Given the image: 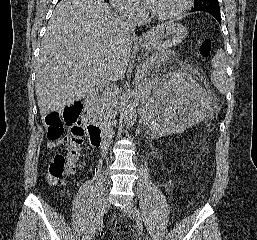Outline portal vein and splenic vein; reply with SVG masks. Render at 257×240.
I'll return each instance as SVG.
<instances>
[{"mask_svg":"<svg viewBox=\"0 0 257 240\" xmlns=\"http://www.w3.org/2000/svg\"><path fill=\"white\" fill-rule=\"evenodd\" d=\"M137 76H138V74L136 75V79L139 80V79L137 78Z\"/></svg>","mask_w":257,"mask_h":240,"instance_id":"18ae733b","label":"portal vein and splenic vein"}]
</instances>
